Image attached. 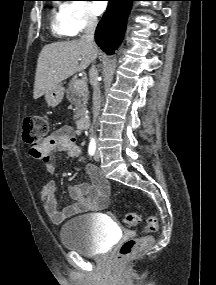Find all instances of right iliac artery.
I'll list each match as a JSON object with an SVG mask.
<instances>
[{
  "instance_id": "1",
  "label": "right iliac artery",
  "mask_w": 216,
  "mask_h": 285,
  "mask_svg": "<svg viewBox=\"0 0 216 285\" xmlns=\"http://www.w3.org/2000/svg\"><path fill=\"white\" fill-rule=\"evenodd\" d=\"M96 150V143L95 140L92 138L90 143H89V147H88V152L89 155L93 156Z\"/></svg>"
}]
</instances>
